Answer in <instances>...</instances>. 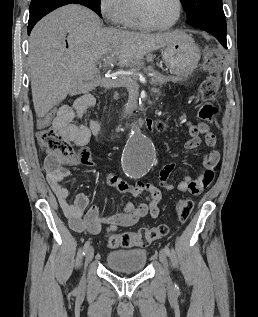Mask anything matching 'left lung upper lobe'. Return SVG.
I'll return each mask as SVG.
<instances>
[{"mask_svg": "<svg viewBox=\"0 0 258 317\" xmlns=\"http://www.w3.org/2000/svg\"><path fill=\"white\" fill-rule=\"evenodd\" d=\"M187 23L196 28H226L222 0H181Z\"/></svg>", "mask_w": 258, "mask_h": 317, "instance_id": "1", "label": "left lung upper lobe"}]
</instances>
